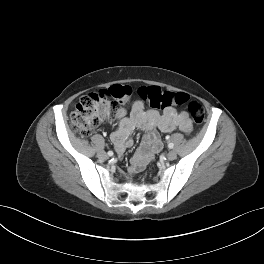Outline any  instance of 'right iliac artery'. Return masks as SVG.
Masks as SVG:
<instances>
[{
  "label": "right iliac artery",
  "mask_w": 264,
  "mask_h": 264,
  "mask_svg": "<svg viewBox=\"0 0 264 264\" xmlns=\"http://www.w3.org/2000/svg\"><path fill=\"white\" fill-rule=\"evenodd\" d=\"M113 154H114L113 151H108L109 156H113Z\"/></svg>",
  "instance_id": "right-iliac-artery-1"
}]
</instances>
